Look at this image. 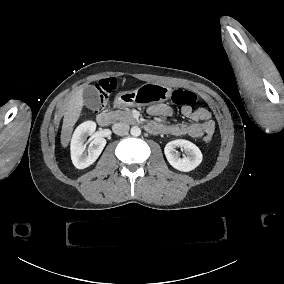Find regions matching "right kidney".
<instances>
[{
  "mask_svg": "<svg viewBox=\"0 0 284 284\" xmlns=\"http://www.w3.org/2000/svg\"><path fill=\"white\" fill-rule=\"evenodd\" d=\"M96 131V125L93 122H86L80 125L73 136L71 143V154L74 166L77 169H86L91 166L102 153L106 139L96 137L93 139V148L85 150L84 142L88 136H92Z\"/></svg>",
  "mask_w": 284,
  "mask_h": 284,
  "instance_id": "ca27d5eb",
  "label": "right kidney"
}]
</instances>
